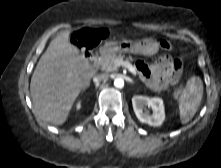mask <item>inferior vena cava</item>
Here are the masks:
<instances>
[{"instance_id":"obj_1","label":"inferior vena cava","mask_w":221,"mask_h":168,"mask_svg":"<svg viewBox=\"0 0 221 168\" xmlns=\"http://www.w3.org/2000/svg\"><path fill=\"white\" fill-rule=\"evenodd\" d=\"M107 78H108V75L106 73H100V74L95 75L93 80L94 82L98 83V82L107 80Z\"/></svg>"}]
</instances>
